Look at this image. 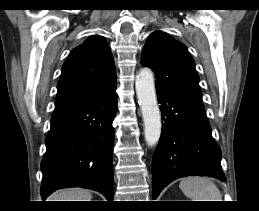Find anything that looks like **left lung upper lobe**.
I'll list each match as a JSON object with an SVG mask.
<instances>
[{"label": "left lung upper lobe", "mask_w": 259, "mask_h": 211, "mask_svg": "<svg viewBox=\"0 0 259 211\" xmlns=\"http://www.w3.org/2000/svg\"><path fill=\"white\" fill-rule=\"evenodd\" d=\"M142 65L153 69L156 90L202 100L194 60L187 48L167 33L155 31L149 35Z\"/></svg>", "instance_id": "left-lung-upper-lobe-1"}]
</instances>
